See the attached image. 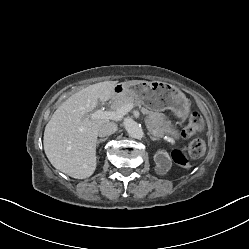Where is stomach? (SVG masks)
Returning a JSON list of instances; mask_svg holds the SVG:
<instances>
[{"mask_svg": "<svg viewBox=\"0 0 249 249\" xmlns=\"http://www.w3.org/2000/svg\"><path fill=\"white\" fill-rule=\"evenodd\" d=\"M112 90L119 96H131L154 111L170 109L180 119L187 118L190 111V103L185 94L165 82L132 80L119 83Z\"/></svg>", "mask_w": 249, "mask_h": 249, "instance_id": "obj_1", "label": "stomach"}]
</instances>
